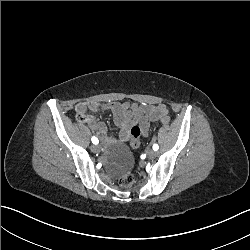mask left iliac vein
Here are the masks:
<instances>
[{
  "label": "left iliac vein",
  "instance_id": "1",
  "mask_svg": "<svg viewBox=\"0 0 250 250\" xmlns=\"http://www.w3.org/2000/svg\"><path fill=\"white\" fill-rule=\"evenodd\" d=\"M147 156H148V158L153 159V158H155L157 156V152L154 151V150H148L147 151Z\"/></svg>",
  "mask_w": 250,
  "mask_h": 250
}]
</instances>
